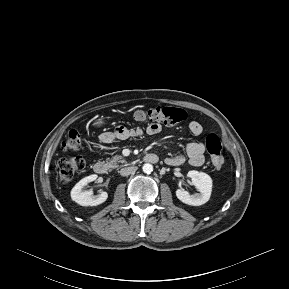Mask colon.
<instances>
[{
    "mask_svg": "<svg viewBox=\"0 0 289 289\" xmlns=\"http://www.w3.org/2000/svg\"><path fill=\"white\" fill-rule=\"evenodd\" d=\"M134 119L143 124L163 123L168 126L177 125L185 121L188 114L185 110L174 107H156L151 109H142L134 113ZM82 145L81 134L77 130H71L62 143V149L65 152H73L80 149ZM206 147L211 157L212 165L215 168H221L224 164L223 140L216 133H211L206 138ZM85 166V160L81 156H72L60 160L58 164V173L60 181L70 182Z\"/></svg>",
    "mask_w": 289,
    "mask_h": 289,
    "instance_id": "1",
    "label": "colon"
}]
</instances>
